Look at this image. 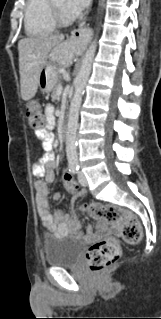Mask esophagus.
<instances>
[{"mask_svg": "<svg viewBox=\"0 0 161 319\" xmlns=\"http://www.w3.org/2000/svg\"><path fill=\"white\" fill-rule=\"evenodd\" d=\"M71 38L86 46L90 41V30L86 25H81L78 29L71 32Z\"/></svg>", "mask_w": 161, "mask_h": 319, "instance_id": "obj_1", "label": "esophagus"}]
</instances>
